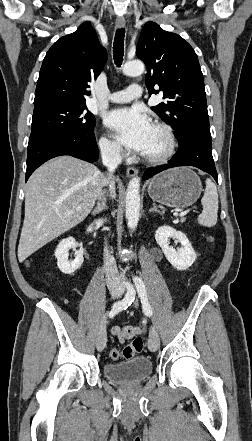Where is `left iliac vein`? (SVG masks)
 <instances>
[{
    "label": "left iliac vein",
    "mask_w": 252,
    "mask_h": 441,
    "mask_svg": "<svg viewBox=\"0 0 252 441\" xmlns=\"http://www.w3.org/2000/svg\"><path fill=\"white\" fill-rule=\"evenodd\" d=\"M136 305V303H135ZM160 346V339L159 335L154 327L150 328L149 331V341H148V348L150 351L155 352L158 350Z\"/></svg>",
    "instance_id": "left-iliac-vein-1"
}]
</instances>
